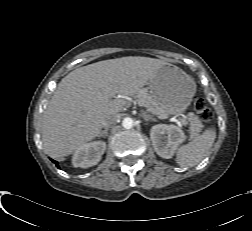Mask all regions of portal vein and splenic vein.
Masks as SVG:
<instances>
[{"instance_id":"obj_1","label":"portal vein and splenic vein","mask_w":252,"mask_h":231,"mask_svg":"<svg viewBox=\"0 0 252 231\" xmlns=\"http://www.w3.org/2000/svg\"><path fill=\"white\" fill-rule=\"evenodd\" d=\"M111 96L114 97V96H115V92H113V93L111 94ZM140 106H141V105H140ZM164 118H166V116H165ZM172 119H173L175 122H177V124H178L179 126H185V124H186V121H185L183 118H177L176 116H173Z\"/></svg>"}]
</instances>
